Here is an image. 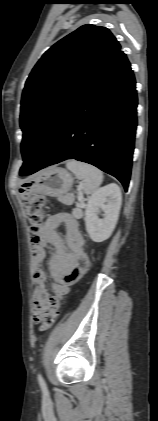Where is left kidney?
Returning <instances> with one entry per match:
<instances>
[{
	"label": "left kidney",
	"mask_w": 158,
	"mask_h": 421,
	"mask_svg": "<svg viewBox=\"0 0 158 421\" xmlns=\"http://www.w3.org/2000/svg\"><path fill=\"white\" fill-rule=\"evenodd\" d=\"M122 203V194L117 184H108L98 189L89 199L85 209V226L90 238L94 242L107 240L118 220ZM102 210L104 218L98 214Z\"/></svg>",
	"instance_id": "1"
}]
</instances>
